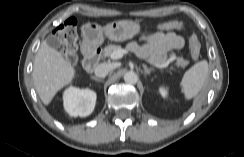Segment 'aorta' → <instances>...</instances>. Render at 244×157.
I'll list each match as a JSON object with an SVG mask.
<instances>
[{
  "label": "aorta",
  "instance_id": "1",
  "mask_svg": "<svg viewBox=\"0 0 244 157\" xmlns=\"http://www.w3.org/2000/svg\"><path fill=\"white\" fill-rule=\"evenodd\" d=\"M124 81L128 84H136L138 81V76L133 71H128L124 74Z\"/></svg>",
  "mask_w": 244,
  "mask_h": 157
}]
</instances>
